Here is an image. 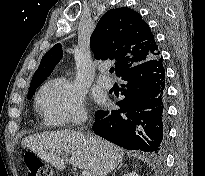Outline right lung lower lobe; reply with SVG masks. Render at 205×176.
Masks as SVG:
<instances>
[{"mask_svg": "<svg viewBox=\"0 0 205 176\" xmlns=\"http://www.w3.org/2000/svg\"><path fill=\"white\" fill-rule=\"evenodd\" d=\"M125 98L120 109L95 114L93 131L128 150L162 154L165 149V69L162 57L139 63L121 76Z\"/></svg>", "mask_w": 205, "mask_h": 176, "instance_id": "98d812e1", "label": "right lung lower lobe"}]
</instances>
